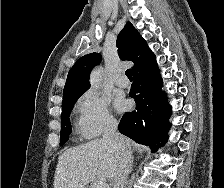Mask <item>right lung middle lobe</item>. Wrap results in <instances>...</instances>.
Returning a JSON list of instances; mask_svg holds the SVG:
<instances>
[{"label": "right lung middle lobe", "mask_w": 224, "mask_h": 188, "mask_svg": "<svg viewBox=\"0 0 224 188\" xmlns=\"http://www.w3.org/2000/svg\"><path fill=\"white\" fill-rule=\"evenodd\" d=\"M84 92L75 93L63 98L62 115H61V134L60 145H64L69 139V135L72 131L70 124V113L73 109L75 102Z\"/></svg>", "instance_id": "1"}]
</instances>
